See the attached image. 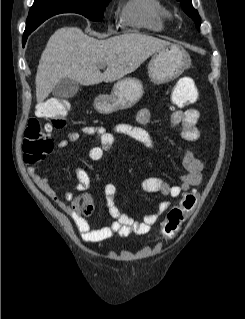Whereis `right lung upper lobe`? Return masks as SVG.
Wrapping results in <instances>:
<instances>
[{"instance_id":"obj_1","label":"right lung upper lobe","mask_w":245,"mask_h":319,"mask_svg":"<svg viewBox=\"0 0 245 319\" xmlns=\"http://www.w3.org/2000/svg\"><path fill=\"white\" fill-rule=\"evenodd\" d=\"M64 1L70 0H34V4L29 11L25 31L32 32L49 17L67 12L63 6ZM32 19L35 20L31 22Z\"/></svg>"}]
</instances>
